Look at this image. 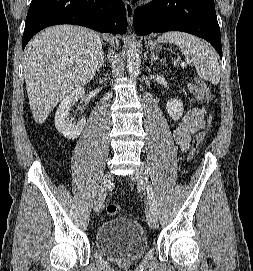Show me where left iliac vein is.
<instances>
[{
    "label": "left iliac vein",
    "instance_id": "4c4485c4",
    "mask_svg": "<svg viewBox=\"0 0 253 271\" xmlns=\"http://www.w3.org/2000/svg\"><path fill=\"white\" fill-rule=\"evenodd\" d=\"M131 178L137 181L142 187L146 186L148 181V174L144 165H141L132 175ZM148 210L146 213L148 224L151 228L156 229L158 227L157 213L153 210L148 200Z\"/></svg>",
    "mask_w": 253,
    "mask_h": 271
}]
</instances>
